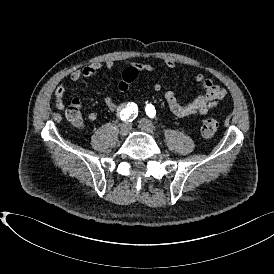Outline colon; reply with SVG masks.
<instances>
[{
  "mask_svg": "<svg viewBox=\"0 0 274 274\" xmlns=\"http://www.w3.org/2000/svg\"><path fill=\"white\" fill-rule=\"evenodd\" d=\"M139 75V71L136 67L130 66L123 72L122 78L116 83V88L120 92H125L129 88V83L134 81ZM67 118L74 124L79 125L81 119L79 116V108L75 104H70L65 110ZM218 123L214 118H206L202 121L201 132L205 136H210L216 133Z\"/></svg>",
  "mask_w": 274,
  "mask_h": 274,
  "instance_id": "colon-1",
  "label": "colon"
}]
</instances>
